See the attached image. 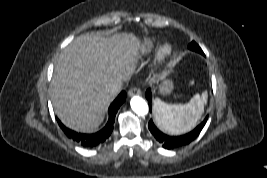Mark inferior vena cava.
Returning a JSON list of instances; mask_svg holds the SVG:
<instances>
[{
    "instance_id": "obj_1",
    "label": "inferior vena cava",
    "mask_w": 267,
    "mask_h": 178,
    "mask_svg": "<svg viewBox=\"0 0 267 178\" xmlns=\"http://www.w3.org/2000/svg\"><path fill=\"white\" fill-rule=\"evenodd\" d=\"M126 82L116 81V82L110 84L108 86V92L111 93V94H113V95L118 94L122 90V88H123V86H124V84Z\"/></svg>"
}]
</instances>
